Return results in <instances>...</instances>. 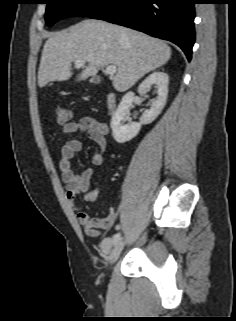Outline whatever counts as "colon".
<instances>
[{
  "instance_id": "colon-1",
  "label": "colon",
  "mask_w": 236,
  "mask_h": 321,
  "mask_svg": "<svg viewBox=\"0 0 236 321\" xmlns=\"http://www.w3.org/2000/svg\"><path fill=\"white\" fill-rule=\"evenodd\" d=\"M55 114H56V123L59 126H64L70 122L71 114L67 108L59 106L55 109Z\"/></svg>"
}]
</instances>
